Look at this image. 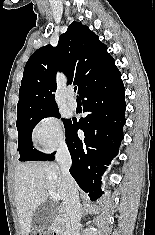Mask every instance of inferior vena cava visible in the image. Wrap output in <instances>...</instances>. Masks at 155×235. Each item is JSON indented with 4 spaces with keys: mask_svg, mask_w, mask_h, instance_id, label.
Masks as SVG:
<instances>
[{
    "mask_svg": "<svg viewBox=\"0 0 155 235\" xmlns=\"http://www.w3.org/2000/svg\"><path fill=\"white\" fill-rule=\"evenodd\" d=\"M56 161L61 169L62 182L65 191L64 235H80L79 222L81 214L78 188L69 172L72 161L69 150L65 144H62L58 148Z\"/></svg>",
    "mask_w": 155,
    "mask_h": 235,
    "instance_id": "1",
    "label": "inferior vena cava"
}]
</instances>
